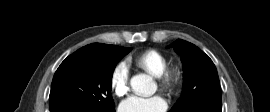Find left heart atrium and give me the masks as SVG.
<instances>
[{
    "label": "left heart atrium",
    "mask_w": 270,
    "mask_h": 112,
    "mask_svg": "<svg viewBox=\"0 0 270 112\" xmlns=\"http://www.w3.org/2000/svg\"><path fill=\"white\" fill-rule=\"evenodd\" d=\"M166 109L167 103L160 95L131 96L119 105V112H165Z\"/></svg>",
    "instance_id": "obj_1"
}]
</instances>
